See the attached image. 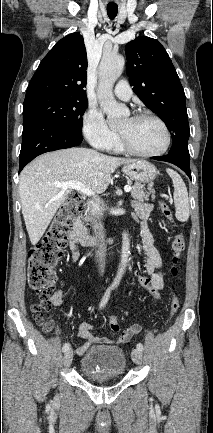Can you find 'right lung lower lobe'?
Returning <instances> with one entry per match:
<instances>
[{
  "label": "right lung lower lobe",
  "instance_id": "1",
  "mask_svg": "<svg viewBox=\"0 0 213 433\" xmlns=\"http://www.w3.org/2000/svg\"><path fill=\"white\" fill-rule=\"evenodd\" d=\"M83 137L76 136L58 125L39 117L24 119L19 172L32 159L45 152L80 145Z\"/></svg>",
  "mask_w": 213,
  "mask_h": 433
}]
</instances>
